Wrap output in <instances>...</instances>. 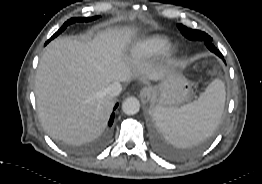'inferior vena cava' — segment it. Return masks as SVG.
Instances as JSON below:
<instances>
[{
	"label": "inferior vena cava",
	"instance_id": "obj_1",
	"mask_svg": "<svg viewBox=\"0 0 262 184\" xmlns=\"http://www.w3.org/2000/svg\"><path fill=\"white\" fill-rule=\"evenodd\" d=\"M121 91L122 86L119 82H113L105 89L106 94L111 97L118 96L121 93Z\"/></svg>",
	"mask_w": 262,
	"mask_h": 184
}]
</instances>
